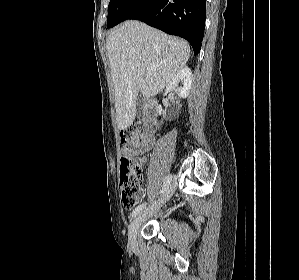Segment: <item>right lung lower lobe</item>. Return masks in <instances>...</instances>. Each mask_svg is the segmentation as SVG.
Masks as SVG:
<instances>
[{
    "label": "right lung lower lobe",
    "instance_id": "right-lung-lower-lobe-1",
    "mask_svg": "<svg viewBox=\"0 0 299 280\" xmlns=\"http://www.w3.org/2000/svg\"><path fill=\"white\" fill-rule=\"evenodd\" d=\"M206 0H133L122 12L117 24L135 19L168 34L185 38L195 55L204 36Z\"/></svg>",
    "mask_w": 299,
    "mask_h": 280
}]
</instances>
